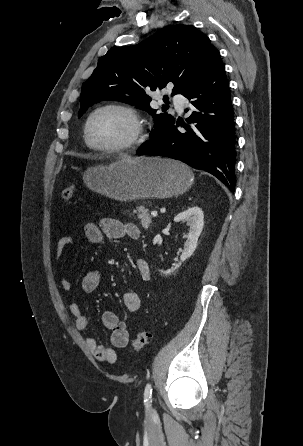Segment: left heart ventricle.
<instances>
[{
	"label": "left heart ventricle",
	"instance_id": "1",
	"mask_svg": "<svg viewBox=\"0 0 303 446\" xmlns=\"http://www.w3.org/2000/svg\"><path fill=\"white\" fill-rule=\"evenodd\" d=\"M133 132L130 118L116 110H105L92 120L89 136L97 146H114L125 142Z\"/></svg>",
	"mask_w": 303,
	"mask_h": 446
}]
</instances>
